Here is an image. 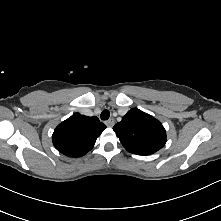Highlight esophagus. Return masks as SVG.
Here are the masks:
<instances>
[{
    "label": "esophagus",
    "mask_w": 221,
    "mask_h": 221,
    "mask_svg": "<svg viewBox=\"0 0 221 221\" xmlns=\"http://www.w3.org/2000/svg\"><path fill=\"white\" fill-rule=\"evenodd\" d=\"M115 123V120L113 118H110L108 119L105 124L108 126V127H112Z\"/></svg>",
    "instance_id": "obj_1"
}]
</instances>
